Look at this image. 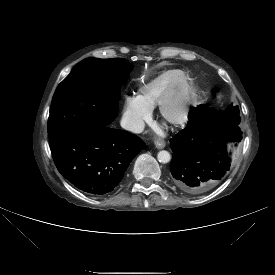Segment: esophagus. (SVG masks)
<instances>
[{"label": "esophagus", "mask_w": 275, "mask_h": 275, "mask_svg": "<svg viewBox=\"0 0 275 275\" xmlns=\"http://www.w3.org/2000/svg\"><path fill=\"white\" fill-rule=\"evenodd\" d=\"M154 144L158 149H163L166 145L165 141L162 139L155 140Z\"/></svg>", "instance_id": "1"}]
</instances>
